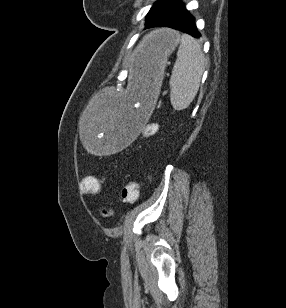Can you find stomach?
<instances>
[{
  "label": "stomach",
  "instance_id": "0dacf381",
  "mask_svg": "<svg viewBox=\"0 0 286 308\" xmlns=\"http://www.w3.org/2000/svg\"><path fill=\"white\" fill-rule=\"evenodd\" d=\"M179 42L175 31L152 32L128 57L129 91L124 96L118 91H101L97 100H89L91 112H83L85 125H80V132L86 152L93 153L94 159H103L104 153H118L126 144H138L135 132L138 125H146V107H153L167 59Z\"/></svg>",
  "mask_w": 286,
  "mask_h": 308
}]
</instances>
